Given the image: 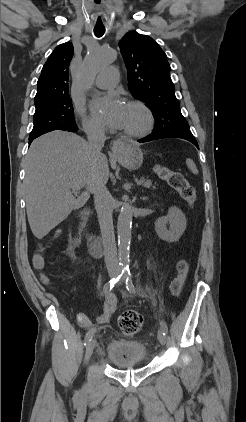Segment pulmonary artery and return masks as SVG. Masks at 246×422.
<instances>
[{"mask_svg":"<svg viewBox=\"0 0 246 422\" xmlns=\"http://www.w3.org/2000/svg\"><path fill=\"white\" fill-rule=\"evenodd\" d=\"M118 70L115 67L103 69L95 79V86L98 88H111L118 82Z\"/></svg>","mask_w":246,"mask_h":422,"instance_id":"e3ab8cb5","label":"pulmonary artery"}]
</instances>
